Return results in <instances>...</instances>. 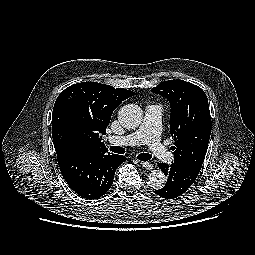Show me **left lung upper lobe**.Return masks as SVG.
<instances>
[{"label": "left lung upper lobe", "instance_id": "obj_1", "mask_svg": "<svg viewBox=\"0 0 255 255\" xmlns=\"http://www.w3.org/2000/svg\"><path fill=\"white\" fill-rule=\"evenodd\" d=\"M151 91L167 98L170 103L174 162L199 173L212 127L206 94L200 87L178 79L164 81Z\"/></svg>", "mask_w": 255, "mask_h": 255}]
</instances>
